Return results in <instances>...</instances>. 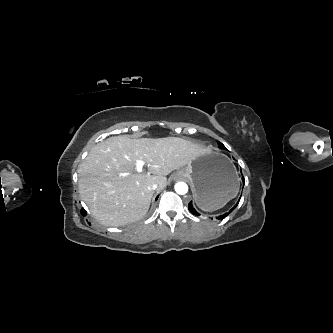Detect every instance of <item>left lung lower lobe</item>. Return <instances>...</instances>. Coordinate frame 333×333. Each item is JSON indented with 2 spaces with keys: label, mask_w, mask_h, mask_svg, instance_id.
I'll list each match as a JSON object with an SVG mask.
<instances>
[{
  "label": "left lung lower lobe",
  "mask_w": 333,
  "mask_h": 333,
  "mask_svg": "<svg viewBox=\"0 0 333 333\" xmlns=\"http://www.w3.org/2000/svg\"><path fill=\"white\" fill-rule=\"evenodd\" d=\"M242 179H243V182H244V178H243V177H242ZM239 201H240V199H239ZM239 201L237 202V204H236V205H235V206H234L229 212H226V213H224V214L218 216L217 218H218V219H224L227 215H229V213H231V212L237 207ZM188 208H189V211H190L193 215H200V214L194 209V207H193V205H192V202H190V203L188 204Z\"/></svg>",
  "instance_id": "obj_1"
}]
</instances>
